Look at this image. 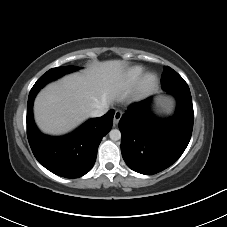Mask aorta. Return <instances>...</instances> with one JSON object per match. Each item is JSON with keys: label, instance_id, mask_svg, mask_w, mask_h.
I'll use <instances>...</instances> for the list:
<instances>
[{"label": "aorta", "instance_id": "762f6f07", "mask_svg": "<svg viewBox=\"0 0 227 227\" xmlns=\"http://www.w3.org/2000/svg\"><path fill=\"white\" fill-rule=\"evenodd\" d=\"M109 137L112 141H118L121 139V132L118 129H112L109 132Z\"/></svg>", "mask_w": 227, "mask_h": 227}]
</instances>
